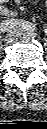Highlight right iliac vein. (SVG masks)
<instances>
[{
	"mask_svg": "<svg viewBox=\"0 0 47 129\" xmlns=\"http://www.w3.org/2000/svg\"><path fill=\"white\" fill-rule=\"evenodd\" d=\"M20 34H21L20 30L11 31L5 38V44L12 45L14 42L17 41L18 37H20Z\"/></svg>",
	"mask_w": 47,
	"mask_h": 129,
	"instance_id": "right-iliac-vein-1",
	"label": "right iliac vein"
}]
</instances>
